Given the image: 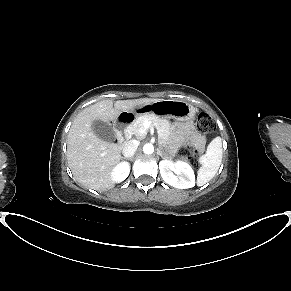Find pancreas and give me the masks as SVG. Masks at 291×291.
Listing matches in <instances>:
<instances>
[{"label": "pancreas", "mask_w": 291, "mask_h": 291, "mask_svg": "<svg viewBox=\"0 0 291 291\" xmlns=\"http://www.w3.org/2000/svg\"><path fill=\"white\" fill-rule=\"evenodd\" d=\"M148 121L154 124L158 129L159 139L161 144H165L170 136V122L165 118H160L153 114H146L139 116L133 124L127 128V132L134 134L137 138H143L144 133L141 130H145L144 123Z\"/></svg>", "instance_id": "cf45deb5"}]
</instances>
